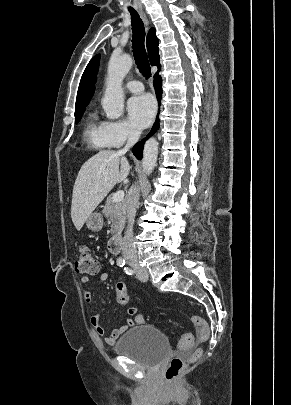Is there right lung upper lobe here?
I'll list each match as a JSON object with an SVG mask.
<instances>
[{"mask_svg":"<svg viewBox=\"0 0 291 405\" xmlns=\"http://www.w3.org/2000/svg\"><path fill=\"white\" fill-rule=\"evenodd\" d=\"M155 29L151 28L147 35V50L149 55V60L151 65H156L158 70H160L159 54H158V38L155 35ZM100 55H96L87 65L77 92L75 110L85 108L89 102L90 98L93 96L95 91L94 84L96 83V76L99 67Z\"/></svg>","mask_w":291,"mask_h":405,"instance_id":"1","label":"right lung upper lobe"}]
</instances>
